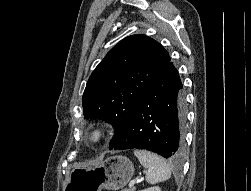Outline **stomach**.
Wrapping results in <instances>:
<instances>
[{
  "mask_svg": "<svg viewBox=\"0 0 251 191\" xmlns=\"http://www.w3.org/2000/svg\"><path fill=\"white\" fill-rule=\"evenodd\" d=\"M134 165L125 155H110L96 167H76L70 173L65 191L120 189L130 181Z\"/></svg>",
  "mask_w": 251,
  "mask_h": 191,
  "instance_id": "obj_1",
  "label": "stomach"
}]
</instances>
